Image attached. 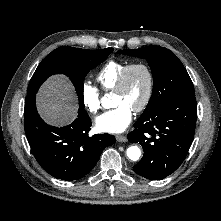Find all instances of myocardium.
Segmentation results:
<instances>
[{"instance_id": "obj_1", "label": "myocardium", "mask_w": 221, "mask_h": 221, "mask_svg": "<svg viewBox=\"0 0 221 221\" xmlns=\"http://www.w3.org/2000/svg\"><path fill=\"white\" fill-rule=\"evenodd\" d=\"M135 68H141L147 76V90H146L145 96L142 102L133 110L134 112L139 113V112L144 111L149 105L152 95H153V90H154V74H153L152 69L147 63L142 62V61H137V62H132L128 64L122 71L113 91L122 92L125 89L129 74Z\"/></svg>"}]
</instances>
